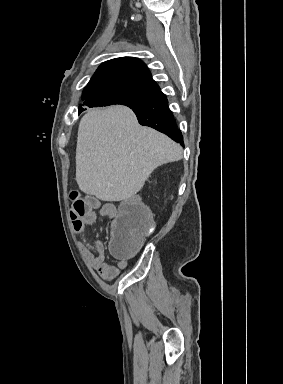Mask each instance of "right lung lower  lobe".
Wrapping results in <instances>:
<instances>
[{
    "label": "right lung lower lobe",
    "mask_w": 283,
    "mask_h": 384,
    "mask_svg": "<svg viewBox=\"0 0 283 384\" xmlns=\"http://www.w3.org/2000/svg\"><path fill=\"white\" fill-rule=\"evenodd\" d=\"M130 108L135 112L141 125L152 127L184 146L181 131L178 129L173 114L168 107V100L161 91L151 104Z\"/></svg>",
    "instance_id": "obj_1"
}]
</instances>
